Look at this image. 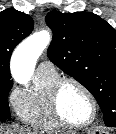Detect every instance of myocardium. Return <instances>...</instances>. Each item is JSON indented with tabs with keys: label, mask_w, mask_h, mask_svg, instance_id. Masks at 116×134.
<instances>
[{
	"label": "myocardium",
	"mask_w": 116,
	"mask_h": 134,
	"mask_svg": "<svg viewBox=\"0 0 116 134\" xmlns=\"http://www.w3.org/2000/svg\"><path fill=\"white\" fill-rule=\"evenodd\" d=\"M67 84H73L80 88L89 98L92 106V114L91 117L84 123H75L70 120H68L64 114L61 111L60 107V95L62 92V89L64 88L65 85ZM50 102H51V108L52 111L57 118V120L62 123L64 126L69 127V128H75V129H82L91 126L95 120L97 119L98 116V103L91 92V90L84 85L82 82L75 78L71 77H62L59 78L52 86L51 91H50Z\"/></svg>",
	"instance_id": "myocardium-1"
}]
</instances>
